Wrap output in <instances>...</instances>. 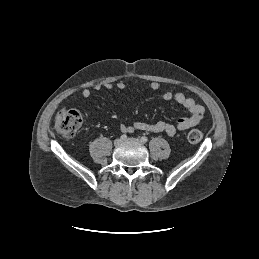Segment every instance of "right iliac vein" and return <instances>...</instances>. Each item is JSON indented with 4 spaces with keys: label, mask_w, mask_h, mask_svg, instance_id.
I'll list each match as a JSON object with an SVG mask.
<instances>
[{
    "label": "right iliac vein",
    "mask_w": 259,
    "mask_h": 259,
    "mask_svg": "<svg viewBox=\"0 0 259 259\" xmlns=\"http://www.w3.org/2000/svg\"><path fill=\"white\" fill-rule=\"evenodd\" d=\"M122 139H116L115 141H114V145L115 146H119V145H121L122 144Z\"/></svg>",
    "instance_id": "right-iliac-vein-1"
}]
</instances>
